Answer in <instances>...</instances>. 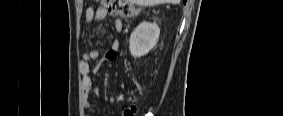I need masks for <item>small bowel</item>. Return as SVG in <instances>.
<instances>
[{
	"label": "small bowel",
	"mask_w": 283,
	"mask_h": 116,
	"mask_svg": "<svg viewBox=\"0 0 283 116\" xmlns=\"http://www.w3.org/2000/svg\"><path fill=\"white\" fill-rule=\"evenodd\" d=\"M85 21L87 24H91L95 19L97 20H105L108 18L109 14L106 8L91 5L85 11ZM123 28L122 20L117 18L114 21V29L117 33H120ZM108 50L105 54L104 58H99L98 50H90L85 52L81 60L79 61L78 67L80 72L83 75L82 80V89L84 93V107L89 108V98L92 95L98 94V89L93 85L92 80L90 78V74L96 73L102 62L112 61L116 58V52L119 49V41L113 37V35L109 34L108 36ZM97 60L95 66L91 67L90 62Z\"/></svg>",
	"instance_id": "c3829d8e"
}]
</instances>
